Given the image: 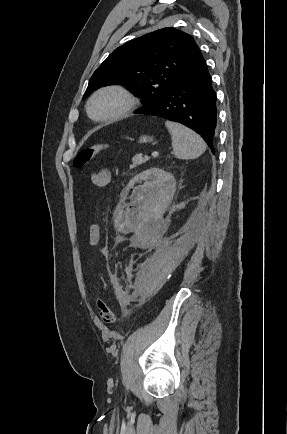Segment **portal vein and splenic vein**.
I'll return each mask as SVG.
<instances>
[{
    "label": "portal vein and splenic vein",
    "instance_id": "1",
    "mask_svg": "<svg viewBox=\"0 0 287 434\" xmlns=\"http://www.w3.org/2000/svg\"><path fill=\"white\" fill-rule=\"evenodd\" d=\"M151 156L152 157H157L158 156V152H152Z\"/></svg>",
    "mask_w": 287,
    "mask_h": 434
}]
</instances>
